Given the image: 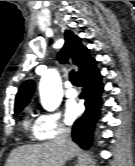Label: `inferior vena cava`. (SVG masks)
Masks as SVG:
<instances>
[{
	"label": "inferior vena cava",
	"mask_w": 135,
	"mask_h": 166,
	"mask_svg": "<svg viewBox=\"0 0 135 166\" xmlns=\"http://www.w3.org/2000/svg\"><path fill=\"white\" fill-rule=\"evenodd\" d=\"M69 133L68 132H62L60 136L58 137L60 139V142L64 148L67 147V143L69 141Z\"/></svg>",
	"instance_id": "1"
}]
</instances>
